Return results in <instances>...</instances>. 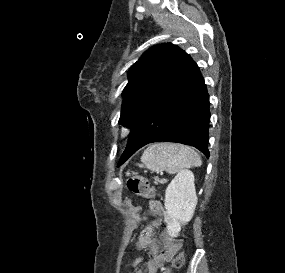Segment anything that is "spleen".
I'll return each mask as SVG.
<instances>
[{"mask_svg":"<svg viewBox=\"0 0 285 273\" xmlns=\"http://www.w3.org/2000/svg\"><path fill=\"white\" fill-rule=\"evenodd\" d=\"M142 165L151 172L166 171L176 174L185 168L199 167L201 158L189 146L173 143H157L149 146L141 157Z\"/></svg>","mask_w":285,"mask_h":273,"instance_id":"1","label":"spleen"}]
</instances>
